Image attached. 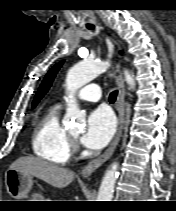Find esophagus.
Masks as SVG:
<instances>
[{
  "label": "esophagus",
  "mask_w": 176,
  "mask_h": 211,
  "mask_svg": "<svg viewBox=\"0 0 176 211\" xmlns=\"http://www.w3.org/2000/svg\"><path fill=\"white\" fill-rule=\"evenodd\" d=\"M116 82L118 86V96L116 102V109L118 112V128L115 134L114 139L112 140L110 146L107 150L97 157L96 159L89 162L81 171V175L84 178H88L98 167H100L104 162H106L115 151L120 138L122 136L124 122H125V84L122 76V72L120 69V60L116 62Z\"/></svg>",
  "instance_id": "34e87169"
}]
</instances>
